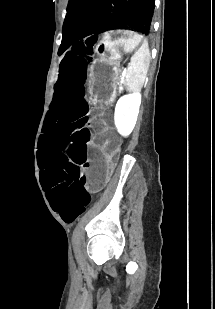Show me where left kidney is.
I'll list each match as a JSON object with an SVG mask.
<instances>
[{"label": "left kidney", "mask_w": 215, "mask_h": 309, "mask_svg": "<svg viewBox=\"0 0 215 309\" xmlns=\"http://www.w3.org/2000/svg\"><path fill=\"white\" fill-rule=\"evenodd\" d=\"M140 104V92L125 94V96H121V98L117 100L114 112V122L118 132H120L122 136H128V134L132 132L136 124Z\"/></svg>", "instance_id": "obj_1"}]
</instances>
